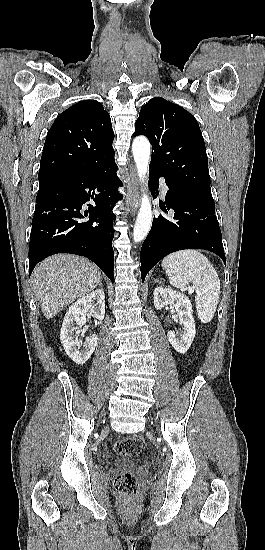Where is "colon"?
<instances>
[{
	"label": "colon",
	"instance_id": "1",
	"mask_svg": "<svg viewBox=\"0 0 265 550\" xmlns=\"http://www.w3.org/2000/svg\"><path fill=\"white\" fill-rule=\"evenodd\" d=\"M115 452L119 455L136 456L143 449L141 440L135 437H127L118 440L114 446ZM116 492L128 499L135 497L138 493L136 477L130 472L117 474L113 481Z\"/></svg>",
	"mask_w": 265,
	"mask_h": 550
}]
</instances>
